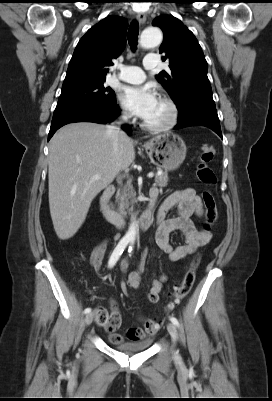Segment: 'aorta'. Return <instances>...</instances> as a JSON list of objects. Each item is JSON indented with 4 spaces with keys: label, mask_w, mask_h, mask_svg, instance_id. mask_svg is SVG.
<instances>
[{
    "label": "aorta",
    "mask_w": 272,
    "mask_h": 401,
    "mask_svg": "<svg viewBox=\"0 0 272 401\" xmlns=\"http://www.w3.org/2000/svg\"><path fill=\"white\" fill-rule=\"evenodd\" d=\"M163 39L162 32L157 27L146 28L140 38V44L143 48H152L161 44ZM137 235V222L133 220L129 226V229L125 235V238L129 241H135Z\"/></svg>",
    "instance_id": "762f6f07"
}]
</instances>
